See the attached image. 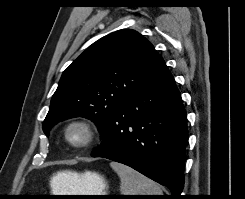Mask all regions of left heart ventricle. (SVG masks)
<instances>
[{"instance_id":"obj_1","label":"left heart ventricle","mask_w":245,"mask_h":199,"mask_svg":"<svg viewBox=\"0 0 245 199\" xmlns=\"http://www.w3.org/2000/svg\"><path fill=\"white\" fill-rule=\"evenodd\" d=\"M85 136V131L78 126L71 128L69 131V137L75 143H80L84 141Z\"/></svg>"}]
</instances>
